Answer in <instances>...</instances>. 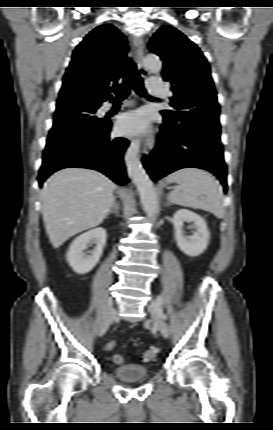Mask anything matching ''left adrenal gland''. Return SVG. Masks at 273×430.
Listing matches in <instances>:
<instances>
[{"mask_svg": "<svg viewBox=\"0 0 273 430\" xmlns=\"http://www.w3.org/2000/svg\"><path fill=\"white\" fill-rule=\"evenodd\" d=\"M170 205H171V203H170V202H166V203H165V206H166V207H169Z\"/></svg>", "mask_w": 273, "mask_h": 430, "instance_id": "1", "label": "left adrenal gland"}]
</instances>
